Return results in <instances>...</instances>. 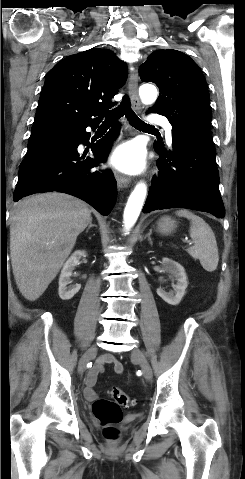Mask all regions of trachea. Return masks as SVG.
Returning <instances> with one entry per match:
<instances>
[{
    "label": "trachea",
    "instance_id": "obj_1",
    "mask_svg": "<svg viewBox=\"0 0 245 479\" xmlns=\"http://www.w3.org/2000/svg\"><path fill=\"white\" fill-rule=\"evenodd\" d=\"M124 114L126 115L130 124L135 128H138V129H152V128H154L153 126H151V125L145 123L144 121H142L134 113V111L130 107L129 98L126 95H124L120 106H118L117 108H115V109H113V110H111L107 113L105 121L103 122V124L112 125L114 122H116V120L118 118H120Z\"/></svg>",
    "mask_w": 245,
    "mask_h": 479
}]
</instances>
